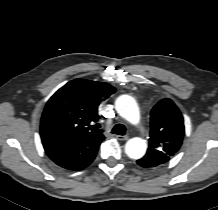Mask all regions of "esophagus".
<instances>
[{
    "label": "esophagus",
    "mask_w": 218,
    "mask_h": 210,
    "mask_svg": "<svg viewBox=\"0 0 218 210\" xmlns=\"http://www.w3.org/2000/svg\"><path fill=\"white\" fill-rule=\"evenodd\" d=\"M116 138L118 140H121V141H126V140L129 139V137L127 135H123V136L122 135H117Z\"/></svg>",
    "instance_id": "1"
}]
</instances>
